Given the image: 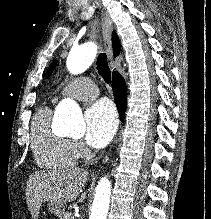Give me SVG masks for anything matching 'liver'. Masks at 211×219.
Returning a JSON list of instances; mask_svg holds the SVG:
<instances>
[{
	"mask_svg": "<svg viewBox=\"0 0 211 219\" xmlns=\"http://www.w3.org/2000/svg\"><path fill=\"white\" fill-rule=\"evenodd\" d=\"M89 173L82 168L65 170L38 171L29 176L26 189V201L33 219H37L41 204L49 201L63 205L78 199L83 202L86 192L82 188Z\"/></svg>",
	"mask_w": 211,
	"mask_h": 219,
	"instance_id": "liver-1",
	"label": "liver"
}]
</instances>
